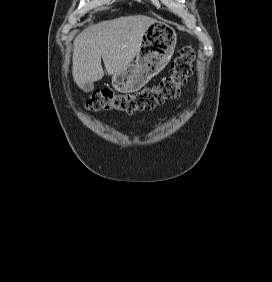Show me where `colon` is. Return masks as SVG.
Wrapping results in <instances>:
<instances>
[{"label": "colon", "mask_w": 272, "mask_h": 282, "mask_svg": "<svg viewBox=\"0 0 272 282\" xmlns=\"http://www.w3.org/2000/svg\"><path fill=\"white\" fill-rule=\"evenodd\" d=\"M194 58L193 49L185 46L174 58L171 72L156 85L143 88L133 94H120L109 88H102L92 94L86 102V107L91 111L117 110L128 114L152 110L165 101L179 96L181 86L192 74Z\"/></svg>", "instance_id": "1"}]
</instances>
